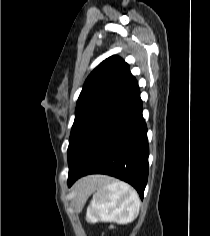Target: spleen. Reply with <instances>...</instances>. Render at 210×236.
<instances>
[{
    "mask_svg": "<svg viewBox=\"0 0 210 236\" xmlns=\"http://www.w3.org/2000/svg\"><path fill=\"white\" fill-rule=\"evenodd\" d=\"M80 188L84 196L97 190L87 208V220L91 223L102 221L127 224L139 214L138 193L124 182H109L101 177L100 180L85 183Z\"/></svg>",
    "mask_w": 210,
    "mask_h": 236,
    "instance_id": "obj_1",
    "label": "spleen"
}]
</instances>
